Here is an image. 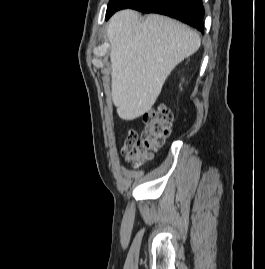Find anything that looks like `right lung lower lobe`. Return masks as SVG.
<instances>
[{
    "label": "right lung lower lobe",
    "instance_id": "right-lung-lower-lobe-1",
    "mask_svg": "<svg viewBox=\"0 0 265 269\" xmlns=\"http://www.w3.org/2000/svg\"><path fill=\"white\" fill-rule=\"evenodd\" d=\"M132 8L145 13H160L181 20L203 32L202 0H115L107 10L106 20L116 11Z\"/></svg>",
    "mask_w": 265,
    "mask_h": 269
}]
</instances>
